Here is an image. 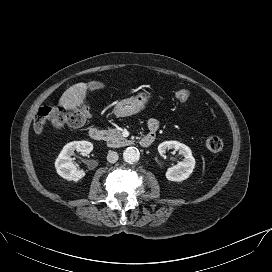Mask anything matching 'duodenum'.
I'll return each instance as SVG.
<instances>
[{
	"mask_svg": "<svg viewBox=\"0 0 272 272\" xmlns=\"http://www.w3.org/2000/svg\"><path fill=\"white\" fill-rule=\"evenodd\" d=\"M89 135L92 140L97 142L102 141L104 139V132L99 128L90 129ZM154 139H155L154 134H147L142 138L141 145L143 147H148L153 143Z\"/></svg>",
	"mask_w": 272,
	"mask_h": 272,
	"instance_id": "duodenum-1",
	"label": "duodenum"
}]
</instances>
